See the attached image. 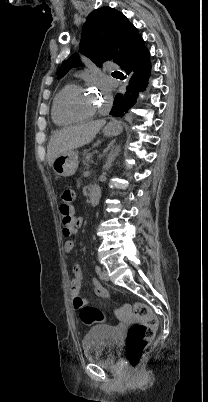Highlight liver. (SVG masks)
<instances>
[{
    "label": "liver",
    "instance_id": "obj_1",
    "mask_svg": "<svg viewBox=\"0 0 208 402\" xmlns=\"http://www.w3.org/2000/svg\"><path fill=\"white\" fill-rule=\"evenodd\" d=\"M104 124H106V120H95V122H87V124L68 126V128H62L59 132H55L47 148L49 166H52L53 160L60 154L90 144Z\"/></svg>",
    "mask_w": 208,
    "mask_h": 402
}]
</instances>
